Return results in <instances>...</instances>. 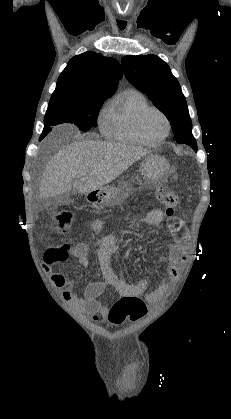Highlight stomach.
<instances>
[{
  "label": "stomach",
  "mask_w": 231,
  "mask_h": 419,
  "mask_svg": "<svg viewBox=\"0 0 231 419\" xmlns=\"http://www.w3.org/2000/svg\"><path fill=\"white\" fill-rule=\"evenodd\" d=\"M140 172L147 182H162L169 172V163L161 155L148 154L140 164ZM131 193L129 184L121 183L119 186H103L87 194V201L93 205L115 204L122 201Z\"/></svg>",
  "instance_id": "1"
}]
</instances>
